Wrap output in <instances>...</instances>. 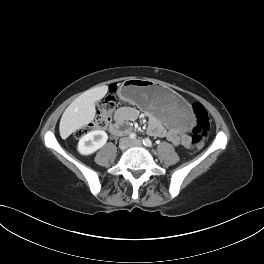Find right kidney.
I'll return each mask as SVG.
<instances>
[{"label":"right kidney","mask_w":264,"mask_h":264,"mask_svg":"<svg viewBox=\"0 0 264 264\" xmlns=\"http://www.w3.org/2000/svg\"><path fill=\"white\" fill-rule=\"evenodd\" d=\"M108 139L105 131L95 130L80 138L77 150L81 155H90L103 147Z\"/></svg>","instance_id":"ca27d5eb"}]
</instances>
